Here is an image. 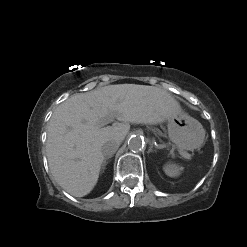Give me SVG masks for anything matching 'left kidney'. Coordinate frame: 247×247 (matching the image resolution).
I'll use <instances>...</instances> for the list:
<instances>
[{
    "instance_id": "1",
    "label": "left kidney",
    "mask_w": 247,
    "mask_h": 247,
    "mask_svg": "<svg viewBox=\"0 0 247 247\" xmlns=\"http://www.w3.org/2000/svg\"><path fill=\"white\" fill-rule=\"evenodd\" d=\"M163 170L169 177H178L181 174L183 167L177 164L167 163L163 166Z\"/></svg>"
}]
</instances>
